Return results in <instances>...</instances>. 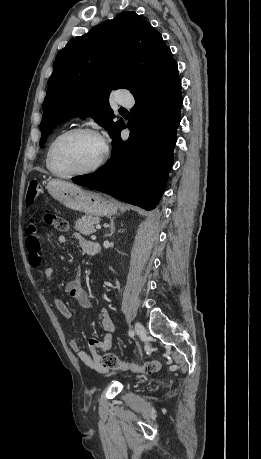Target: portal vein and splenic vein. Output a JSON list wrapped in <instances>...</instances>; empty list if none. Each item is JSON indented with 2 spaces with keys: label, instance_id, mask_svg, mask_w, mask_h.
I'll return each instance as SVG.
<instances>
[{
  "label": "portal vein and splenic vein",
  "instance_id": "obj_1",
  "mask_svg": "<svg viewBox=\"0 0 261 459\" xmlns=\"http://www.w3.org/2000/svg\"><path fill=\"white\" fill-rule=\"evenodd\" d=\"M96 229H97V230L101 229V225L97 224V225H96Z\"/></svg>",
  "mask_w": 261,
  "mask_h": 459
}]
</instances>
